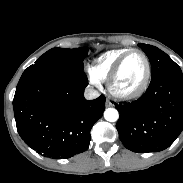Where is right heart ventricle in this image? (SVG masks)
Segmentation results:
<instances>
[{
  "instance_id": "e07e8e85",
  "label": "right heart ventricle",
  "mask_w": 183,
  "mask_h": 183,
  "mask_svg": "<svg viewBox=\"0 0 183 183\" xmlns=\"http://www.w3.org/2000/svg\"><path fill=\"white\" fill-rule=\"evenodd\" d=\"M128 49H114L109 50L99 55L94 61L90 69V73L100 80L107 79L110 70L116 63V61L126 52Z\"/></svg>"
}]
</instances>
